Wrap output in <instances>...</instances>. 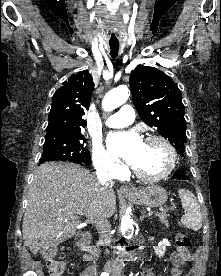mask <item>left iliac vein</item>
I'll list each match as a JSON object with an SVG mask.
<instances>
[{"mask_svg":"<svg viewBox=\"0 0 221 276\" xmlns=\"http://www.w3.org/2000/svg\"><path fill=\"white\" fill-rule=\"evenodd\" d=\"M112 276H120V274L118 272H113Z\"/></svg>","mask_w":221,"mask_h":276,"instance_id":"4c4485c4","label":"left iliac vein"}]
</instances>
